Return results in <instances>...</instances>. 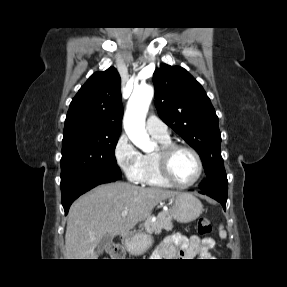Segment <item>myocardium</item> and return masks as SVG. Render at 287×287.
Instances as JSON below:
<instances>
[{"mask_svg":"<svg viewBox=\"0 0 287 287\" xmlns=\"http://www.w3.org/2000/svg\"><path fill=\"white\" fill-rule=\"evenodd\" d=\"M179 150H185V151L190 152L195 157L197 164H198V173L196 177L194 178V180H192L189 183H181L177 181L176 178L173 176V173L171 170V159L173 155ZM156 158H157L158 166H159L162 176L168 182H170L172 185L176 187H179V188L192 187L201 179L203 175V171H204L203 160L200 154L198 153V151L191 146L184 145V144H175V143L161 146V148L156 152Z\"/></svg>","mask_w":287,"mask_h":287,"instance_id":"obj_1","label":"myocardium"}]
</instances>
